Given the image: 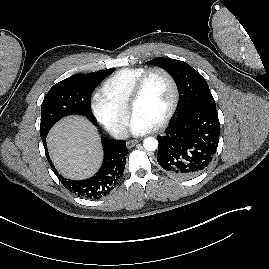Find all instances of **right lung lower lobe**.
<instances>
[{
  "mask_svg": "<svg viewBox=\"0 0 269 269\" xmlns=\"http://www.w3.org/2000/svg\"><path fill=\"white\" fill-rule=\"evenodd\" d=\"M42 141L47 160L55 170L49 159L46 138ZM102 143L104 148L103 164L95 176L82 181H73L62 177L55 170L57 177L70 192L88 199H99L107 195L118 184V180L121 178L126 164L125 156L128 153L126 142L102 138Z\"/></svg>",
  "mask_w": 269,
  "mask_h": 269,
  "instance_id": "1",
  "label": "right lung lower lobe"
}]
</instances>
